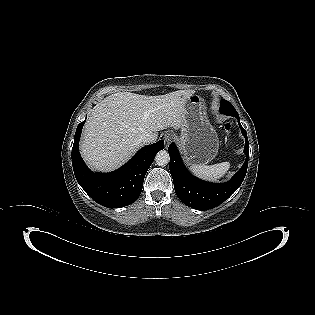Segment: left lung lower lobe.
Listing matches in <instances>:
<instances>
[{
	"mask_svg": "<svg viewBox=\"0 0 315 315\" xmlns=\"http://www.w3.org/2000/svg\"><path fill=\"white\" fill-rule=\"evenodd\" d=\"M236 118L245 137L244 153L246 154V161L228 182L210 183L194 177L182 163L176 145L174 143L169 145L170 172L175 192L184 204L198 210L212 209L228 199L243 182L248 167V139L246 130L240 124L239 116Z\"/></svg>",
	"mask_w": 315,
	"mask_h": 315,
	"instance_id": "1",
	"label": "left lung lower lobe"
}]
</instances>
